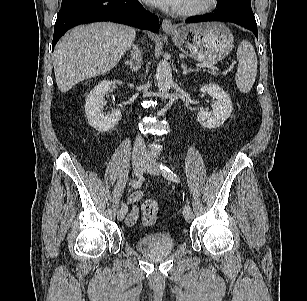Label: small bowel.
<instances>
[{
  "mask_svg": "<svg viewBox=\"0 0 307 301\" xmlns=\"http://www.w3.org/2000/svg\"><path fill=\"white\" fill-rule=\"evenodd\" d=\"M143 196H144V192L141 190H137L128 196L127 203L130 205L131 208L126 218L127 225L132 226L137 221L139 214H140V209L137 206V203L142 200Z\"/></svg>",
  "mask_w": 307,
  "mask_h": 301,
  "instance_id": "obj_1",
  "label": "small bowel"
}]
</instances>
